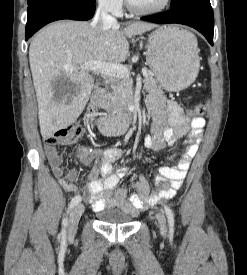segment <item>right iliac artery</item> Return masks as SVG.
<instances>
[{
  "instance_id": "82829eb1",
  "label": "right iliac artery",
  "mask_w": 247,
  "mask_h": 275,
  "mask_svg": "<svg viewBox=\"0 0 247 275\" xmlns=\"http://www.w3.org/2000/svg\"><path fill=\"white\" fill-rule=\"evenodd\" d=\"M80 202H81V196L80 195L74 196L70 205H69V210H71L74 206H76ZM62 225H63L62 234L65 235V228L67 226V218L63 219Z\"/></svg>"
}]
</instances>
